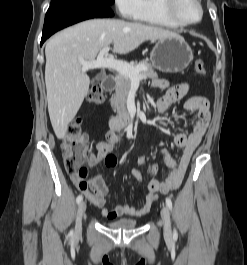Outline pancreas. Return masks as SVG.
Segmentation results:
<instances>
[{
	"label": "pancreas",
	"instance_id": "cf45deb5",
	"mask_svg": "<svg viewBox=\"0 0 247 265\" xmlns=\"http://www.w3.org/2000/svg\"><path fill=\"white\" fill-rule=\"evenodd\" d=\"M131 66H144L146 69L139 72V75L143 78H158L153 66L147 60L140 61ZM115 83V93L112 95L111 106L115 112L124 113L126 111V98L131 87V79L119 73L115 77Z\"/></svg>",
	"mask_w": 247,
	"mask_h": 265
}]
</instances>
